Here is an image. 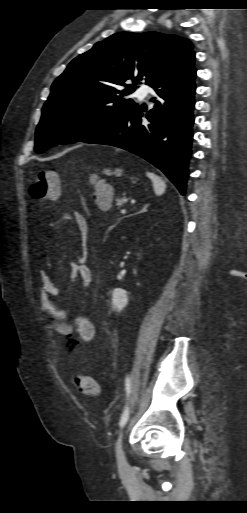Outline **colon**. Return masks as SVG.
<instances>
[{"label": "colon", "mask_w": 247, "mask_h": 513, "mask_svg": "<svg viewBox=\"0 0 247 513\" xmlns=\"http://www.w3.org/2000/svg\"><path fill=\"white\" fill-rule=\"evenodd\" d=\"M95 187V201L101 209L110 207L113 199V191L110 183L93 178ZM60 180L58 174L54 171H42L36 175L31 184L29 192L32 198L36 200L54 201L60 195ZM75 387L82 393L93 396L98 392V386L95 380L88 375H76L74 377Z\"/></svg>", "instance_id": "obj_1"}]
</instances>
